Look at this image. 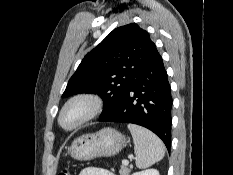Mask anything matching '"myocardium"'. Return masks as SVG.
Returning <instances> with one entry per match:
<instances>
[{
  "mask_svg": "<svg viewBox=\"0 0 233 175\" xmlns=\"http://www.w3.org/2000/svg\"><path fill=\"white\" fill-rule=\"evenodd\" d=\"M81 104L86 106V110L84 114L74 123L68 125L65 124L64 117L66 113L74 106ZM103 107H104V101L102 97L97 93L80 92L74 94L70 98H68L66 102L63 104L58 115V124L63 130L66 131L77 129L83 124L87 123L88 121L98 116L103 110Z\"/></svg>",
  "mask_w": 233,
  "mask_h": 175,
  "instance_id": "obj_1",
  "label": "myocardium"
}]
</instances>
